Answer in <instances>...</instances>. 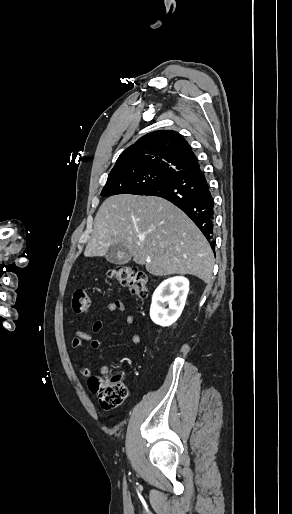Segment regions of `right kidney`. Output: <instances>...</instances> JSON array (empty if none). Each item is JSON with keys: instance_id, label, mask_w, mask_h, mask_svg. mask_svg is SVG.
<instances>
[{"instance_id": "obj_1", "label": "right kidney", "mask_w": 292, "mask_h": 514, "mask_svg": "<svg viewBox=\"0 0 292 514\" xmlns=\"http://www.w3.org/2000/svg\"><path fill=\"white\" fill-rule=\"evenodd\" d=\"M189 292V280L175 276L156 288L150 308V318L159 326H171L178 320ZM166 302V304H165ZM168 304V308H166Z\"/></svg>"}]
</instances>
